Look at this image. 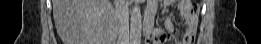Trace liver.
Segmentation results:
<instances>
[{
  "label": "liver",
  "mask_w": 261,
  "mask_h": 44,
  "mask_svg": "<svg viewBox=\"0 0 261 44\" xmlns=\"http://www.w3.org/2000/svg\"><path fill=\"white\" fill-rule=\"evenodd\" d=\"M53 16L65 44L114 42L105 24H122L110 0H53Z\"/></svg>",
  "instance_id": "liver-1"
}]
</instances>
